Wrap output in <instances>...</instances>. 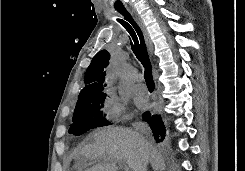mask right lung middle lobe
I'll list each match as a JSON object with an SVG mask.
<instances>
[{
	"instance_id": "1",
	"label": "right lung middle lobe",
	"mask_w": 245,
	"mask_h": 171,
	"mask_svg": "<svg viewBox=\"0 0 245 171\" xmlns=\"http://www.w3.org/2000/svg\"><path fill=\"white\" fill-rule=\"evenodd\" d=\"M105 97L106 94H101L78 100L69 133L79 136L90 129L109 125L101 110Z\"/></svg>"
}]
</instances>
